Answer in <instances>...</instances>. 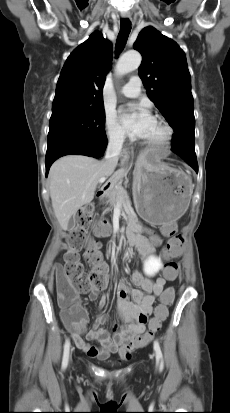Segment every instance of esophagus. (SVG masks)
I'll use <instances>...</instances> for the list:
<instances>
[{
  "label": "esophagus",
  "instance_id": "1",
  "mask_svg": "<svg viewBox=\"0 0 230 413\" xmlns=\"http://www.w3.org/2000/svg\"><path fill=\"white\" fill-rule=\"evenodd\" d=\"M122 17H123V18L130 19V18H131V15H130V13H128V12H124V13H122Z\"/></svg>",
  "mask_w": 230,
  "mask_h": 413
}]
</instances>
